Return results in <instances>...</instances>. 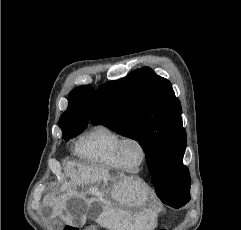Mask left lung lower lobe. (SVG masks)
I'll return each instance as SVG.
<instances>
[{"mask_svg": "<svg viewBox=\"0 0 241 230\" xmlns=\"http://www.w3.org/2000/svg\"><path fill=\"white\" fill-rule=\"evenodd\" d=\"M151 177H152V181H153L154 186L157 185L159 183V179H158L157 175L153 174V176H151ZM170 206L178 208V207H181L183 205H170Z\"/></svg>", "mask_w": 241, "mask_h": 230, "instance_id": "left-lung-lower-lobe-1", "label": "left lung lower lobe"}]
</instances>
